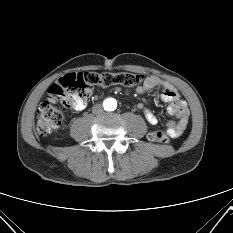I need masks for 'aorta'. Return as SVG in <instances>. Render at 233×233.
Returning <instances> with one entry per match:
<instances>
[{"mask_svg":"<svg viewBox=\"0 0 233 233\" xmlns=\"http://www.w3.org/2000/svg\"><path fill=\"white\" fill-rule=\"evenodd\" d=\"M117 107V102L113 98H108L104 101V108L107 111H113Z\"/></svg>","mask_w":233,"mask_h":233,"instance_id":"aorta-1","label":"aorta"}]
</instances>
